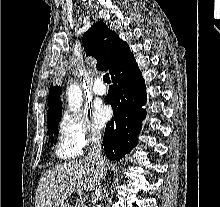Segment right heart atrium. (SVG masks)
Masks as SVG:
<instances>
[{
  "mask_svg": "<svg viewBox=\"0 0 220 207\" xmlns=\"http://www.w3.org/2000/svg\"><path fill=\"white\" fill-rule=\"evenodd\" d=\"M59 138L65 147L81 155L101 141V133L85 114H64L59 123Z\"/></svg>",
  "mask_w": 220,
  "mask_h": 207,
  "instance_id": "d8ad5b80",
  "label": "right heart atrium"
}]
</instances>
